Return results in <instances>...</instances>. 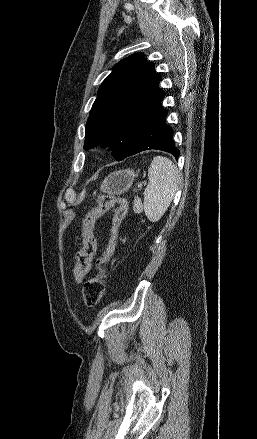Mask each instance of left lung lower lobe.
<instances>
[{
  "label": "left lung lower lobe",
  "mask_w": 257,
  "mask_h": 439,
  "mask_svg": "<svg viewBox=\"0 0 257 439\" xmlns=\"http://www.w3.org/2000/svg\"><path fill=\"white\" fill-rule=\"evenodd\" d=\"M162 99L144 121L136 144L127 157L142 151L156 149L171 153L178 159L180 151L175 147L172 139V128L166 124L167 111L161 107Z\"/></svg>",
  "instance_id": "left-lung-lower-lobe-1"
}]
</instances>
